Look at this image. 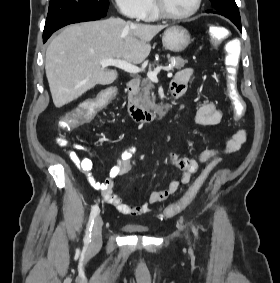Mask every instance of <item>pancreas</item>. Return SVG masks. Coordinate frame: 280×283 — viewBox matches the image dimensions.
<instances>
[{
  "label": "pancreas",
  "mask_w": 280,
  "mask_h": 283,
  "mask_svg": "<svg viewBox=\"0 0 280 283\" xmlns=\"http://www.w3.org/2000/svg\"><path fill=\"white\" fill-rule=\"evenodd\" d=\"M168 59L170 62H174L173 65L170 67H167V71H173L175 69H181L185 66V64L188 62L186 59L181 58L180 56L172 57L168 56ZM157 63H150L149 64V70L152 69L154 65ZM155 88L153 82L149 78H144L141 81V91L139 93V101H140V106L144 110H156L158 106L155 103L156 96L153 92V89Z\"/></svg>",
  "instance_id": "cf45deb5"
}]
</instances>
